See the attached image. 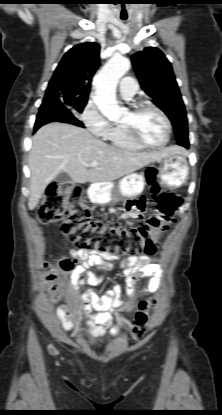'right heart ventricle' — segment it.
Here are the masks:
<instances>
[{"label": "right heart ventricle", "mask_w": 222, "mask_h": 415, "mask_svg": "<svg viewBox=\"0 0 222 415\" xmlns=\"http://www.w3.org/2000/svg\"><path fill=\"white\" fill-rule=\"evenodd\" d=\"M106 139L120 149L136 151L143 148L131 139L123 124H116Z\"/></svg>", "instance_id": "e07e8e85"}]
</instances>
